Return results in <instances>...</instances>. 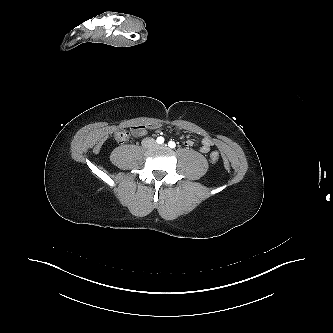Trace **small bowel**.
Masks as SVG:
<instances>
[{
    "label": "small bowel",
    "mask_w": 333,
    "mask_h": 333,
    "mask_svg": "<svg viewBox=\"0 0 333 333\" xmlns=\"http://www.w3.org/2000/svg\"><path fill=\"white\" fill-rule=\"evenodd\" d=\"M147 132V128L144 125L141 126H133L131 128V133L135 137H141L144 136ZM187 146H192L193 142L191 140H187L185 142ZM212 146V140L208 137H205L201 141L200 151L204 154H207L210 151V148Z\"/></svg>",
    "instance_id": "small-bowel-1"
}]
</instances>
